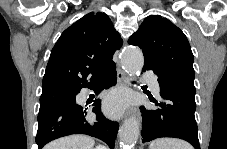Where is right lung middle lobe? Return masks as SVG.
Segmentation results:
<instances>
[{
	"label": "right lung middle lobe",
	"mask_w": 227,
	"mask_h": 149,
	"mask_svg": "<svg viewBox=\"0 0 227 149\" xmlns=\"http://www.w3.org/2000/svg\"><path fill=\"white\" fill-rule=\"evenodd\" d=\"M77 87L56 85L42 89L40 96V110L42 112L58 102H74Z\"/></svg>",
	"instance_id": "right-lung-middle-lobe-1"
}]
</instances>
